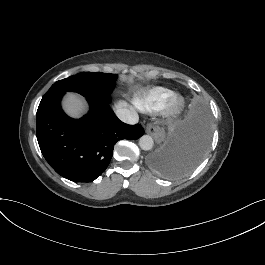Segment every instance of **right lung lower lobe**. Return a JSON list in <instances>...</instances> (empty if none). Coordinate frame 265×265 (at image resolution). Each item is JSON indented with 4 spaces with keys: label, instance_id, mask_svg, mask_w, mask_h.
I'll use <instances>...</instances> for the list:
<instances>
[{
    "label": "right lung lower lobe",
    "instance_id": "98d812e1",
    "mask_svg": "<svg viewBox=\"0 0 265 265\" xmlns=\"http://www.w3.org/2000/svg\"><path fill=\"white\" fill-rule=\"evenodd\" d=\"M65 92L44 95L37 110V140L50 166L75 182H91L107 168L114 145L138 139L141 125L121 122L109 104L87 99L90 111L81 119L67 116L60 101Z\"/></svg>",
    "mask_w": 265,
    "mask_h": 265
}]
</instances>
